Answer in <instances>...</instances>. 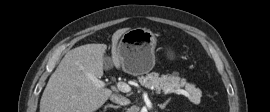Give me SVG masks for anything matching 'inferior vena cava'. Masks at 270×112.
Listing matches in <instances>:
<instances>
[{"label": "inferior vena cava", "instance_id": "inferior-vena-cava-1", "mask_svg": "<svg viewBox=\"0 0 270 112\" xmlns=\"http://www.w3.org/2000/svg\"><path fill=\"white\" fill-rule=\"evenodd\" d=\"M110 100L120 105H127L130 103V100L128 98L116 94L111 95Z\"/></svg>", "mask_w": 270, "mask_h": 112}]
</instances>
